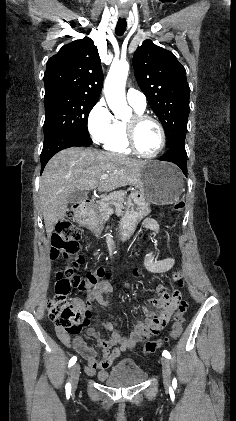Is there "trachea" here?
<instances>
[{"mask_svg":"<svg viewBox=\"0 0 236 421\" xmlns=\"http://www.w3.org/2000/svg\"><path fill=\"white\" fill-rule=\"evenodd\" d=\"M126 20L125 18H119L117 25H116V35L121 37L122 35H124V32L126 31Z\"/></svg>","mask_w":236,"mask_h":421,"instance_id":"obj_1","label":"trachea"}]
</instances>
